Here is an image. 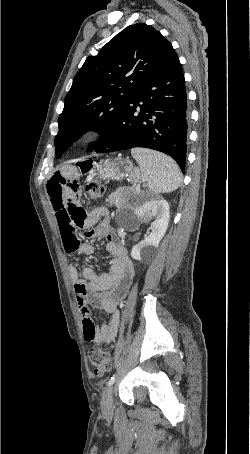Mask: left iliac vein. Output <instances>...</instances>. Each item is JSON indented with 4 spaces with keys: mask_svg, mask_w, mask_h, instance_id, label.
<instances>
[{
    "mask_svg": "<svg viewBox=\"0 0 250 454\" xmlns=\"http://www.w3.org/2000/svg\"><path fill=\"white\" fill-rule=\"evenodd\" d=\"M101 408L102 412L104 414H111L114 409V403H113V387L108 386L102 396V401H101Z\"/></svg>",
    "mask_w": 250,
    "mask_h": 454,
    "instance_id": "4c4485c4",
    "label": "left iliac vein"
}]
</instances>
